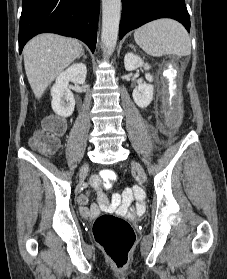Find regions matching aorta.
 Instances as JSON below:
<instances>
[{
	"label": "aorta",
	"mask_w": 227,
	"mask_h": 279,
	"mask_svg": "<svg viewBox=\"0 0 227 279\" xmlns=\"http://www.w3.org/2000/svg\"><path fill=\"white\" fill-rule=\"evenodd\" d=\"M121 13V0H102L101 41L111 54L116 46Z\"/></svg>",
	"instance_id": "1"
}]
</instances>
